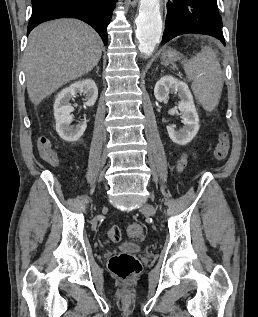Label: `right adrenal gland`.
<instances>
[{"instance_id": "obj_1", "label": "right adrenal gland", "mask_w": 258, "mask_h": 317, "mask_svg": "<svg viewBox=\"0 0 258 317\" xmlns=\"http://www.w3.org/2000/svg\"><path fill=\"white\" fill-rule=\"evenodd\" d=\"M96 68H97L96 72H97V74H98V72H99V66H96ZM98 76H100V74H98Z\"/></svg>"}]
</instances>
